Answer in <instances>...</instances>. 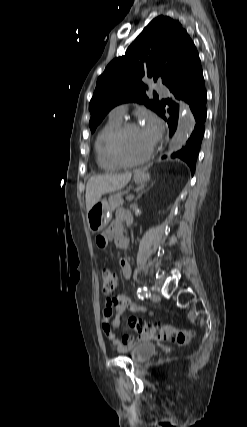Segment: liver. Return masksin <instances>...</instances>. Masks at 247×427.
Instances as JSON below:
<instances>
[{
  "instance_id": "6515ba94",
  "label": "liver",
  "mask_w": 247,
  "mask_h": 427,
  "mask_svg": "<svg viewBox=\"0 0 247 427\" xmlns=\"http://www.w3.org/2000/svg\"><path fill=\"white\" fill-rule=\"evenodd\" d=\"M132 174H104L89 178L86 185V209L89 211L103 194L114 192L125 187L131 180Z\"/></svg>"
}]
</instances>
